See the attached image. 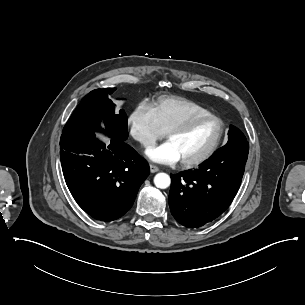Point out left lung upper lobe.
I'll use <instances>...</instances> for the list:
<instances>
[{"label": "left lung upper lobe", "instance_id": "5c2ea615", "mask_svg": "<svg viewBox=\"0 0 305 305\" xmlns=\"http://www.w3.org/2000/svg\"><path fill=\"white\" fill-rule=\"evenodd\" d=\"M246 142L247 140L244 134L238 128L231 125L228 132V142L226 145L242 144Z\"/></svg>", "mask_w": 305, "mask_h": 305}]
</instances>
